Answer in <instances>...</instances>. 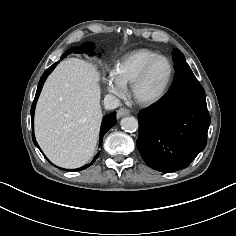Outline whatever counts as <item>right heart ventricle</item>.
<instances>
[{
  "label": "right heart ventricle",
  "mask_w": 236,
  "mask_h": 236,
  "mask_svg": "<svg viewBox=\"0 0 236 236\" xmlns=\"http://www.w3.org/2000/svg\"><path fill=\"white\" fill-rule=\"evenodd\" d=\"M158 55L157 52L146 48L133 50L117 60L112 74L124 87L129 86L144 65Z\"/></svg>",
  "instance_id": "right-heart-ventricle-1"
}]
</instances>
